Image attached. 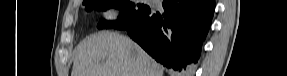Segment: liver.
<instances>
[{
  "label": "liver",
  "mask_w": 287,
  "mask_h": 76,
  "mask_svg": "<svg viewBox=\"0 0 287 76\" xmlns=\"http://www.w3.org/2000/svg\"><path fill=\"white\" fill-rule=\"evenodd\" d=\"M71 76H163V67L128 37L104 31L75 48Z\"/></svg>",
  "instance_id": "obj_1"
}]
</instances>
